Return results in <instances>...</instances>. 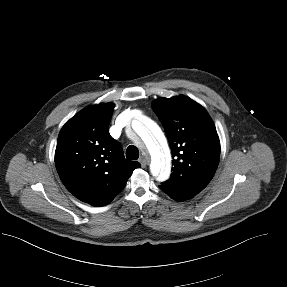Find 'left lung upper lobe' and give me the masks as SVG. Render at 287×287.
<instances>
[{"instance_id":"5c2ea615","label":"left lung upper lobe","mask_w":287,"mask_h":287,"mask_svg":"<svg viewBox=\"0 0 287 287\" xmlns=\"http://www.w3.org/2000/svg\"><path fill=\"white\" fill-rule=\"evenodd\" d=\"M172 151L173 173L161 183L184 199L202 191L213 178L220 158V141L207 111L186 96L159 98L152 104Z\"/></svg>"}]
</instances>
